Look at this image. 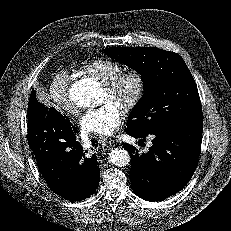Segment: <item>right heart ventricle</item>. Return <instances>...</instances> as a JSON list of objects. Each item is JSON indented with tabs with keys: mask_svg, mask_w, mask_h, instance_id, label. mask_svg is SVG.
<instances>
[{
	"mask_svg": "<svg viewBox=\"0 0 231 231\" xmlns=\"http://www.w3.org/2000/svg\"><path fill=\"white\" fill-rule=\"evenodd\" d=\"M124 68L117 62L108 59H97L82 65L79 72L106 85L123 73Z\"/></svg>",
	"mask_w": 231,
	"mask_h": 231,
	"instance_id": "1",
	"label": "right heart ventricle"
}]
</instances>
